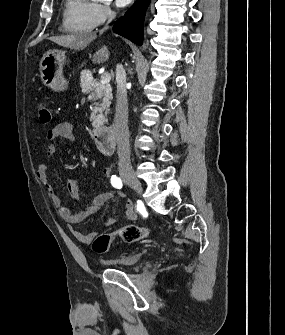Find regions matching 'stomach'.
<instances>
[{"instance_id": "stomach-1", "label": "stomach", "mask_w": 285, "mask_h": 335, "mask_svg": "<svg viewBox=\"0 0 285 335\" xmlns=\"http://www.w3.org/2000/svg\"><path fill=\"white\" fill-rule=\"evenodd\" d=\"M65 60L66 52H61V50H49L40 60L41 82L54 92H63L67 88V82L63 76Z\"/></svg>"}]
</instances>
